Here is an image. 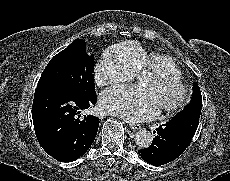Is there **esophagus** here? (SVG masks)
<instances>
[{"label": "esophagus", "instance_id": "34e87169", "mask_svg": "<svg viewBox=\"0 0 230 181\" xmlns=\"http://www.w3.org/2000/svg\"><path fill=\"white\" fill-rule=\"evenodd\" d=\"M129 127L133 130H138L141 128V125L140 124H133V123H130L129 124Z\"/></svg>", "mask_w": 230, "mask_h": 181}]
</instances>
